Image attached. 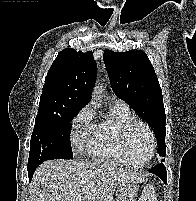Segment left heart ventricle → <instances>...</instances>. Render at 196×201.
<instances>
[{"mask_svg":"<svg viewBox=\"0 0 196 201\" xmlns=\"http://www.w3.org/2000/svg\"><path fill=\"white\" fill-rule=\"evenodd\" d=\"M151 151V141L148 132L141 126H136L129 136V152L131 161L135 164L145 162Z\"/></svg>","mask_w":196,"mask_h":201,"instance_id":"obj_1","label":"left heart ventricle"}]
</instances>
